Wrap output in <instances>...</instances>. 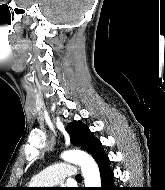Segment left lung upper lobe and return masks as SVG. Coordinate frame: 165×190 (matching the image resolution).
<instances>
[{"label": "left lung upper lobe", "mask_w": 165, "mask_h": 190, "mask_svg": "<svg viewBox=\"0 0 165 190\" xmlns=\"http://www.w3.org/2000/svg\"><path fill=\"white\" fill-rule=\"evenodd\" d=\"M66 130L70 135L71 143L84 148L96 162L106 156L102 143L93 136V133L83 123L73 121Z\"/></svg>", "instance_id": "1"}]
</instances>
